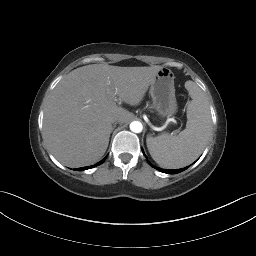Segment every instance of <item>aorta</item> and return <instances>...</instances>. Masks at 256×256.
<instances>
[{
    "instance_id": "aorta-1",
    "label": "aorta",
    "mask_w": 256,
    "mask_h": 256,
    "mask_svg": "<svg viewBox=\"0 0 256 256\" xmlns=\"http://www.w3.org/2000/svg\"><path fill=\"white\" fill-rule=\"evenodd\" d=\"M143 126L141 124V122L139 121H133L130 124V130L134 133H140L142 132Z\"/></svg>"
}]
</instances>
